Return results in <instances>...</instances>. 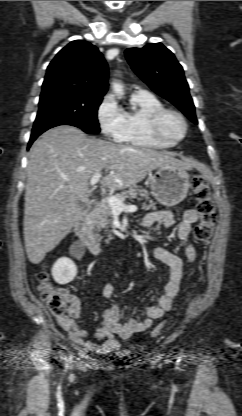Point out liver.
I'll return each mask as SVG.
<instances>
[{
    "label": "liver",
    "instance_id": "1",
    "mask_svg": "<svg viewBox=\"0 0 242 416\" xmlns=\"http://www.w3.org/2000/svg\"><path fill=\"white\" fill-rule=\"evenodd\" d=\"M164 165L188 166L150 148L114 144L61 125L45 132L30 149L24 208V240L31 263L65 238L79 220L78 200L88 201L91 177L109 172L102 184L121 190Z\"/></svg>",
    "mask_w": 242,
    "mask_h": 416
}]
</instances>
